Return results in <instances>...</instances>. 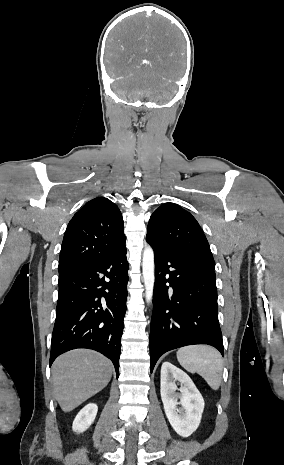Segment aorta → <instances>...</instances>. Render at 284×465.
<instances>
[{"label":"aorta","mask_w":284,"mask_h":465,"mask_svg":"<svg viewBox=\"0 0 284 465\" xmlns=\"http://www.w3.org/2000/svg\"><path fill=\"white\" fill-rule=\"evenodd\" d=\"M155 265H154V252L150 246H147L143 252L142 259V274L145 285V298L149 304L152 301L153 289L155 282Z\"/></svg>","instance_id":"762f6f07"}]
</instances>
